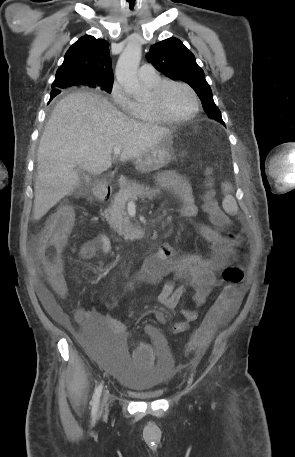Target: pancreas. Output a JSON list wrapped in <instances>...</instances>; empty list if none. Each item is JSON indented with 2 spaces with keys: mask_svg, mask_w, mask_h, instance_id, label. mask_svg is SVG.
Segmentation results:
<instances>
[{
  "mask_svg": "<svg viewBox=\"0 0 295 457\" xmlns=\"http://www.w3.org/2000/svg\"><path fill=\"white\" fill-rule=\"evenodd\" d=\"M158 193H160L159 189H150L148 186L135 182L123 186L115 195L110 207L105 211L104 216L110 227L125 238L136 237L135 228L125 210L126 203L130 200L135 201L138 198L152 199Z\"/></svg>",
  "mask_w": 295,
  "mask_h": 457,
  "instance_id": "pancreas-1",
  "label": "pancreas"
}]
</instances>
